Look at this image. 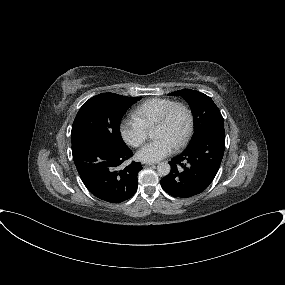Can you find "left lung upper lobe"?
Segmentation results:
<instances>
[{
  "instance_id": "1",
  "label": "left lung upper lobe",
  "mask_w": 285,
  "mask_h": 285,
  "mask_svg": "<svg viewBox=\"0 0 285 285\" xmlns=\"http://www.w3.org/2000/svg\"><path fill=\"white\" fill-rule=\"evenodd\" d=\"M169 95L181 96L190 105L194 119V133L189 145L195 143L212 126L224 125L218 107L209 96L191 89L178 90Z\"/></svg>"
}]
</instances>
